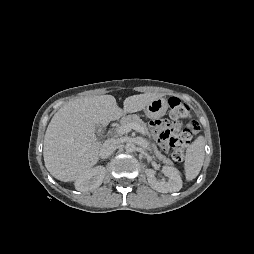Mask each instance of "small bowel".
Instances as JSON below:
<instances>
[{
    "mask_svg": "<svg viewBox=\"0 0 254 254\" xmlns=\"http://www.w3.org/2000/svg\"><path fill=\"white\" fill-rule=\"evenodd\" d=\"M169 125H170V123L168 120L157 121V122H153L151 124V126L155 129V135L158 138H159V133L161 132V130H163L164 128H166Z\"/></svg>",
    "mask_w": 254,
    "mask_h": 254,
    "instance_id": "1",
    "label": "small bowel"
}]
</instances>
